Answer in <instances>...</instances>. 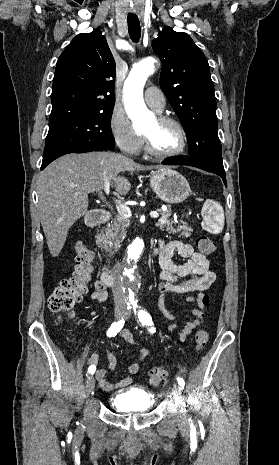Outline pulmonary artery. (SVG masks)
Here are the masks:
<instances>
[{
    "label": "pulmonary artery",
    "instance_id": "e3ab8cb5",
    "mask_svg": "<svg viewBox=\"0 0 279 465\" xmlns=\"http://www.w3.org/2000/svg\"><path fill=\"white\" fill-rule=\"evenodd\" d=\"M145 101L148 106L161 112L165 107V97L163 93L156 87H149L145 91Z\"/></svg>",
    "mask_w": 279,
    "mask_h": 465
}]
</instances>
